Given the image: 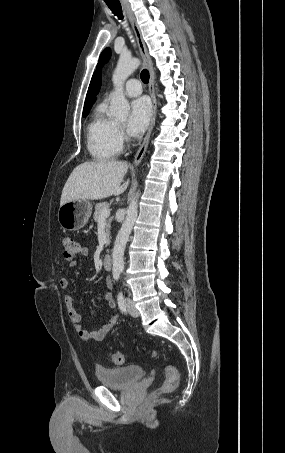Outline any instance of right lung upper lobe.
<instances>
[{
    "label": "right lung upper lobe",
    "mask_w": 285,
    "mask_h": 453,
    "mask_svg": "<svg viewBox=\"0 0 285 453\" xmlns=\"http://www.w3.org/2000/svg\"><path fill=\"white\" fill-rule=\"evenodd\" d=\"M100 86H101V74L99 70H96L92 76L88 88L83 112L89 111L91 109L92 104L95 102V96L100 90Z\"/></svg>",
    "instance_id": "right-lung-upper-lobe-1"
}]
</instances>
